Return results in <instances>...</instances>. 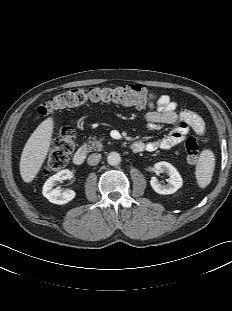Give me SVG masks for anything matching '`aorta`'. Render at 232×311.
I'll return each mask as SVG.
<instances>
[{"instance_id":"obj_1","label":"aorta","mask_w":232,"mask_h":311,"mask_svg":"<svg viewBox=\"0 0 232 311\" xmlns=\"http://www.w3.org/2000/svg\"><path fill=\"white\" fill-rule=\"evenodd\" d=\"M107 162L111 165V166H117L120 164L121 162V156L119 153L117 152H110L107 156Z\"/></svg>"}]
</instances>
